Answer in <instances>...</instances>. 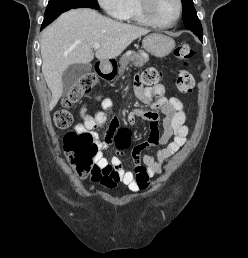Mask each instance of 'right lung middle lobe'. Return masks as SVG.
I'll return each mask as SVG.
<instances>
[{"label":"right lung middle lobe","mask_w":248,"mask_h":258,"mask_svg":"<svg viewBox=\"0 0 248 258\" xmlns=\"http://www.w3.org/2000/svg\"><path fill=\"white\" fill-rule=\"evenodd\" d=\"M79 7L99 9L97 0H49L44 20L52 19L65 11Z\"/></svg>","instance_id":"right-lung-middle-lobe-1"}]
</instances>
